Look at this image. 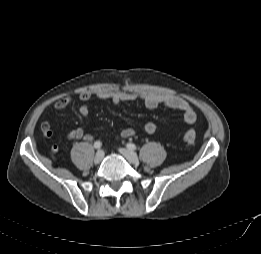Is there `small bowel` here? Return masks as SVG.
Masks as SVG:
<instances>
[{
    "instance_id": "1",
    "label": "small bowel",
    "mask_w": 261,
    "mask_h": 254,
    "mask_svg": "<svg viewBox=\"0 0 261 254\" xmlns=\"http://www.w3.org/2000/svg\"><path fill=\"white\" fill-rule=\"evenodd\" d=\"M97 98L101 100H110L113 104H119L121 102H130L132 104L143 103L149 109H155L157 107L163 106L173 110H179L183 113L184 122L187 125H191L196 121V113L192 106L183 98L175 95L160 93V92H147V93H129L124 91H109L102 90L96 94ZM92 94L89 92H82L79 95V99L82 104L79 107L80 115L87 119L90 115V109L88 102L91 100ZM72 104V99L70 97H64L54 102L53 107L56 110H62L69 107ZM156 124L153 122H147L143 126V130L146 133L152 134L156 131ZM41 130L43 134L47 137L52 136L53 132L51 130V123L45 121L41 125ZM46 131L50 133L47 135ZM66 137L68 139H77L84 141H92L93 136L91 134L85 133L82 128L67 129L65 131ZM136 134V131L132 128L123 129L117 136V139H125L132 137ZM57 147L52 148V152H56Z\"/></svg>"
}]
</instances>
